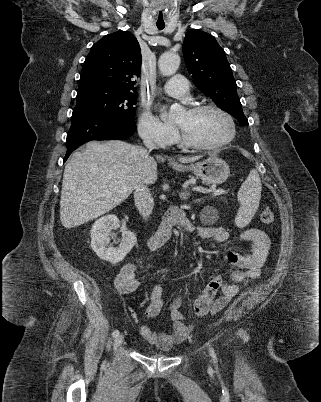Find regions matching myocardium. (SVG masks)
<instances>
[{
  "mask_svg": "<svg viewBox=\"0 0 321 402\" xmlns=\"http://www.w3.org/2000/svg\"><path fill=\"white\" fill-rule=\"evenodd\" d=\"M209 109L215 110V111L219 112L222 116L225 117V119L227 120V122L229 124V128H230L228 136L214 144H202V143H198V142L192 140L191 138H189L188 135L181 128H179L180 141L183 146L192 148V149H196V150L211 151V150L220 149V148L230 144L234 140V138L236 136L235 121H234L232 115L229 112H227L225 109L220 107L219 105H216L213 103L197 104V105H193V106L189 107V109L187 111H189L191 113H197V112H201V111L209 110Z\"/></svg>",
  "mask_w": 321,
  "mask_h": 402,
  "instance_id": "obj_1",
  "label": "myocardium"
}]
</instances>
